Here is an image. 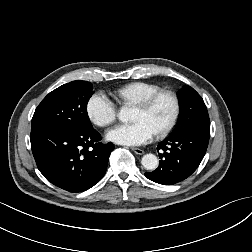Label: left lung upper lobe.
<instances>
[{
	"instance_id": "5c2ea615",
	"label": "left lung upper lobe",
	"mask_w": 252,
	"mask_h": 252,
	"mask_svg": "<svg viewBox=\"0 0 252 252\" xmlns=\"http://www.w3.org/2000/svg\"><path fill=\"white\" fill-rule=\"evenodd\" d=\"M180 116L178 124L169 136L177 135L191 128H210L206 105L201 96L190 86H184L178 93Z\"/></svg>"
}]
</instances>
